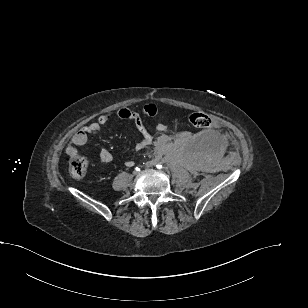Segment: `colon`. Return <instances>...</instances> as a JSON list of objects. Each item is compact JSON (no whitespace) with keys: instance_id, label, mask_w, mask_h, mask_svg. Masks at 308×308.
<instances>
[{"instance_id":"1","label":"colon","mask_w":308,"mask_h":308,"mask_svg":"<svg viewBox=\"0 0 308 308\" xmlns=\"http://www.w3.org/2000/svg\"><path fill=\"white\" fill-rule=\"evenodd\" d=\"M190 124L198 129L209 128L212 124L211 118L201 112H195L189 116ZM87 169V160L82 156H73L69 162V171L75 178H81Z\"/></svg>"}]
</instances>
